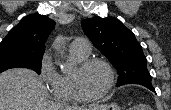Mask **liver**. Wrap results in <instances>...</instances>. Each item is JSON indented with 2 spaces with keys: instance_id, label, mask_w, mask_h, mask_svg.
I'll list each match as a JSON object with an SVG mask.
<instances>
[{
  "instance_id": "1",
  "label": "liver",
  "mask_w": 171,
  "mask_h": 110,
  "mask_svg": "<svg viewBox=\"0 0 171 110\" xmlns=\"http://www.w3.org/2000/svg\"><path fill=\"white\" fill-rule=\"evenodd\" d=\"M0 110H89L54 104L45 86L30 69H10L0 74Z\"/></svg>"
}]
</instances>
